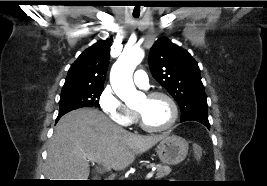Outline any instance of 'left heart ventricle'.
<instances>
[{
  "mask_svg": "<svg viewBox=\"0 0 267 186\" xmlns=\"http://www.w3.org/2000/svg\"><path fill=\"white\" fill-rule=\"evenodd\" d=\"M144 122L150 127H162L168 123L171 118V106L169 102L162 97L149 99L144 97L137 107Z\"/></svg>",
  "mask_w": 267,
  "mask_h": 186,
  "instance_id": "obj_1",
  "label": "left heart ventricle"
}]
</instances>
